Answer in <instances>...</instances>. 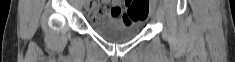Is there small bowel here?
I'll return each instance as SVG.
<instances>
[{
  "label": "small bowel",
  "mask_w": 235,
  "mask_h": 62,
  "mask_svg": "<svg viewBox=\"0 0 235 62\" xmlns=\"http://www.w3.org/2000/svg\"><path fill=\"white\" fill-rule=\"evenodd\" d=\"M89 18L93 22H107L111 24L124 23L131 24L126 20L125 14L121 16V1H111L110 8H101L98 4H94L89 9Z\"/></svg>",
  "instance_id": "small-bowel-1"
}]
</instances>
